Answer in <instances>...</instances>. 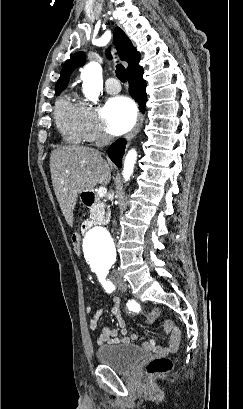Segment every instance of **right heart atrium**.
<instances>
[{
    "label": "right heart atrium",
    "instance_id": "obj_1",
    "mask_svg": "<svg viewBox=\"0 0 243 409\" xmlns=\"http://www.w3.org/2000/svg\"><path fill=\"white\" fill-rule=\"evenodd\" d=\"M76 123L80 138L87 143H99L108 140L99 120L97 110L86 101H79L76 108Z\"/></svg>",
    "mask_w": 243,
    "mask_h": 409
}]
</instances>
